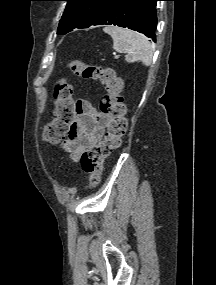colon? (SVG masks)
Masks as SVG:
<instances>
[{
  "mask_svg": "<svg viewBox=\"0 0 216 285\" xmlns=\"http://www.w3.org/2000/svg\"><path fill=\"white\" fill-rule=\"evenodd\" d=\"M68 68L76 76L99 81L106 90V95L100 102V111L107 117V131L101 141L81 156L82 169L88 175V187L93 188L100 182L104 160L120 146L127 129L126 107L122 95L123 80L111 68L86 64L80 60L71 61ZM72 94L71 85L64 79L55 84L53 117L43 129L47 142H58L70 130L77 113Z\"/></svg>",
  "mask_w": 216,
  "mask_h": 285,
  "instance_id": "obj_1",
  "label": "colon"
}]
</instances>
